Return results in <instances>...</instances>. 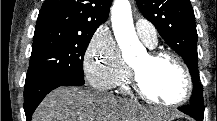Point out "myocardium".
Segmentation results:
<instances>
[{"label":"myocardium","instance_id":"obj_1","mask_svg":"<svg viewBox=\"0 0 217 121\" xmlns=\"http://www.w3.org/2000/svg\"><path fill=\"white\" fill-rule=\"evenodd\" d=\"M147 55H148V58L154 62L162 58H169L178 66V68L182 72V75L184 77V82H185L183 93L178 99H176L173 102H162L159 99L152 97L145 89L139 72L135 68L130 66V77H131V82H132L134 91L142 99L150 103L165 106V107H171V108L178 107L184 104L185 102H187L193 91V82H192L189 69L186 63L183 61V59L177 54H175L174 52L168 51V50H153L149 52Z\"/></svg>","mask_w":217,"mask_h":121}]
</instances>
